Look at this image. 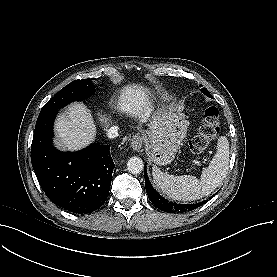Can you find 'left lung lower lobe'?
<instances>
[{
	"label": "left lung lower lobe",
	"mask_w": 277,
	"mask_h": 277,
	"mask_svg": "<svg viewBox=\"0 0 277 277\" xmlns=\"http://www.w3.org/2000/svg\"><path fill=\"white\" fill-rule=\"evenodd\" d=\"M144 176H145V187H146V192L148 194L149 200L160 210L168 213L172 212H186V211H191L196 208H198L200 205H202L204 202L203 201L199 204H177V203H172L169 202L168 200L164 199L162 196H160L156 190L152 187L150 181L148 180V176L146 173V166L144 168Z\"/></svg>",
	"instance_id": "left-lung-lower-lobe-1"
}]
</instances>
